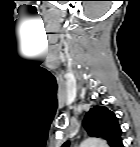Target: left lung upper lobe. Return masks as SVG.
Returning a JSON list of instances; mask_svg holds the SVG:
<instances>
[{
  "label": "left lung upper lobe",
  "instance_id": "obj_1",
  "mask_svg": "<svg viewBox=\"0 0 140 147\" xmlns=\"http://www.w3.org/2000/svg\"><path fill=\"white\" fill-rule=\"evenodd\" d=\"M83 125L88 134L93 137H101L108 141L111 147H122L121 128L115 114L106 107L95 106L87 112ZM69 143L63 146L67 147Z\"/></svg>",
  "mask_w": 140,
  "mask_h": 147
}]
</instances>
